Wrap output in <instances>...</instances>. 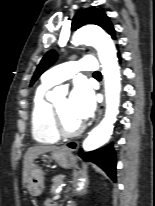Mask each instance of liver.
<instances>
[{
  "label": "liver",
  "instance_id": "liver-1",
  "mask_svg": "<svg viewBox=\"0 0 155 206\" xmlns=\"http://www.w3.org/2000/svg\"><path fill=\"white\" fill-rule=\"evenodd\" d=\"M58 148L55 146H48V145H41V146H34L30 147L25 156H24V165H23V183L26 184L29 173L31 169L34 167V160L41 154L47 153L50 151H55Z\"/></svg>",
  "mask_w": 155,
  "mask_h": 206
}]
</instances>
